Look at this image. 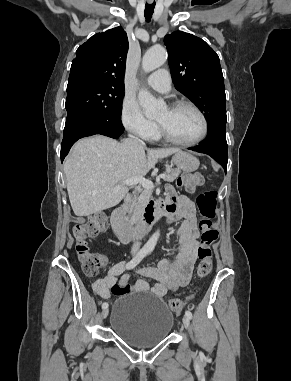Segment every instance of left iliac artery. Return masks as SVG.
I'll return each instance as SVG.
<instances>
[{"instance_id":"left-iliac-artery-1","label":"left iliac artery","mask_w":291,"mask_h":381,"mask_svg":"<svg viewBox=\"0 0 291 381\" xmlns=\"http://www.w3.org/2000/svg\"><path fill=\"white\" fill-rule=\"evenodd\" d=\"M185 315H186L189 319L192 318V313H191L189 310H187V311L185 312Z\"/></svg>"}]
</instances>
